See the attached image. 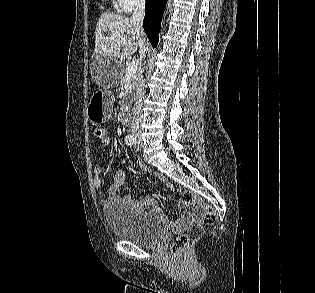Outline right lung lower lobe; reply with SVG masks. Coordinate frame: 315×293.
Here are the masks:
<instances>
[{"label":"right lung lower lobe","mask_w":315,"mask_h":293,"mask_svg":"<svg viewBox=\"0 0 315 293\" xmlns=\"http://www.w3.org/2000/svg\"><path fill=\"white\" fill-rule=\"evenodd\" d=\"M167 0H146L143 27L153 47L158 43V32Z\"/></svg>","instance_id":"right-lung-lower-lobe-1"}]
</instances>
